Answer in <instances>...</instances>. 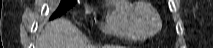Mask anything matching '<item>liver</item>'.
Instances as JSON below:
<instances>
[{
    "instance_id": "1",
    "label": "liver",
    "mask_w": 213,
    "mask_h": 48,
    "mask_svg": "<svg viewBox=\"0 0 213 48\" xmlns=\"http://www.w3.org/2000/svg\"><path fill=\"white\" fill-rule=\"evenodd\" d=\"M37 48H95L86 37L67 19H57L46 25ZM118 48V47H106Z\"/></svg>"
}]
</instances>
